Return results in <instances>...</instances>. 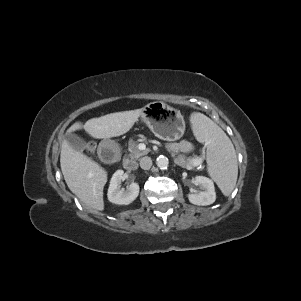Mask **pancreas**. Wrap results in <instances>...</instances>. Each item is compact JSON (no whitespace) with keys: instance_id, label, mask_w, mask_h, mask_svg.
Segmentation results:
<instances>
[{"instance_id":"1","label":"pancreas","mask_w":301,"mask_h":301,"mask_svg":"<svg viewBox=\"0 0 301 301\" xmlns=\"http://www.w3.org/2000/svg\"><path fill=\"white\" fill-rule=\"evenodd\" d=\"M129 157L131 159H138L139 157L146 155L149 153V150L141 151L138 148V143L136 141L130 140L129 141ZM201 160L200 157L193 156V157H186L184 155H178L174 158V161L177 165L186 168L192 169L196 164Z\"/></svg>"}]
</instances>
